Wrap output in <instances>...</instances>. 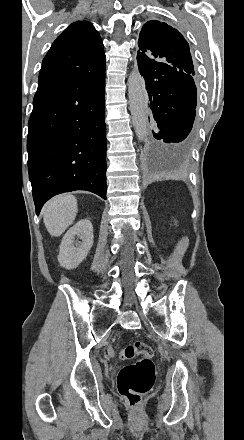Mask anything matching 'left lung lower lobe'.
I'll use <instances>...</instances> for the list:
<instances>
[{"mask_svg": "<svg viewBox=\"0 0 244 440\" xmlns=\"http://www.w3.org/2000/svg\"><path fill=\"white\" fill-rule=\"evenodd\" d=\"M152 110L145 148L152 156L179 153L193 138L197 91L193 76L164 66L138 64ZM152 132V133H151Z\"/></svg>", "mask_w": 244, "mask_h": 440, "instance_id": "0a47b994", "label": "left lung lower lobe"}]
</instances>
